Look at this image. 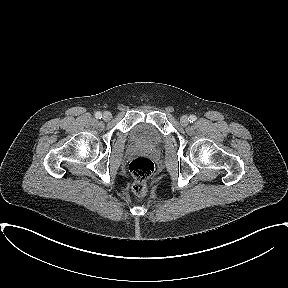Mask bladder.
<instances>
[{
    "label": "bladder",
    "instance_id": "obj_1",
    "mask_svg": "<svg viewBox=\"0 0 288 288\" xmlns=\"http://www.w3.org/2000/svg\"><path fill=\"white\" fill-rule=\"evenodd\" d=\"M131 139L141 146L156 147L161 143L162 135L153 125L139 123L132 129Z\"/></svg>",
    "mask_w": 288,
    "mask_h": 288
}]
</instances>
